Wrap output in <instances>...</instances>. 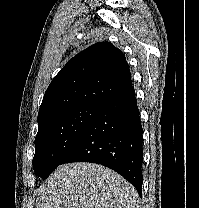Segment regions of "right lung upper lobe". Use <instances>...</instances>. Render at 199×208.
<instances>
[{
	"label": "right lung upper lobe",
	"mask_w": 199,
	"mask_h": 208,
	"mask_svg": "<svg viewBox=\"0 0 199 208\" xmlns=\"http://www.w3.org/2000/svg\"><path fill=\"white\" fill-rule=\"evenodd\" d=\"M132 87L131 73L121 50L99 42L69 60L43 97L38 123L76 107L101 106Z\"/></svg>",
	"instance_id": "cb5924a9"
}]
</instances>
